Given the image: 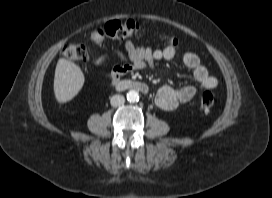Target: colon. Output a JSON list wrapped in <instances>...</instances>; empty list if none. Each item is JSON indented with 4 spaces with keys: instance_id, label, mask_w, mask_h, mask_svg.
<instances>
[{
    "instance_id": "obj_1",
    "label": "colon",
    "mask_w": 272,
    "mask_h": 198,
    "mask_svg": "<svg viewBox=\"0 0 272 198\" xmlns=\"http://www.w3.org/2000/svg\"><path fill=\"white\" fill-rule=\"evenodd\" d=\"M145 29L134 20H111L104 25L93 29L90 32V39L96 44L103 43L107 39H124L128 37H143ZM172 46L179 44L176 37H167ZM62 55L70 60H87L90 54V48L83 44H68L62 51ZM214 105V95L207 91L204 92L200 100V108L208 112Z\"/></svg>"
}]
</instances>
